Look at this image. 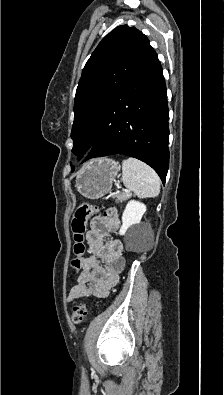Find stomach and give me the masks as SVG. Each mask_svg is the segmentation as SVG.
Masks as SVG:
<instances>
[{"label":"stomach","mask_w":224,"mask_h":395,"mask_svg":"<svg viewBox=\"0 0 224 395\" xmlns=\"http://www.w3.org/2000/svg\"><path fill=\"white\" fill-rule=\"evenodd\" d=\"M118 172V162L113 159H95L88 162L78 172L75 186L84 197L98 199L111 190Z\"/></svg>","instance_id":"obj_1"}]
</instances>
